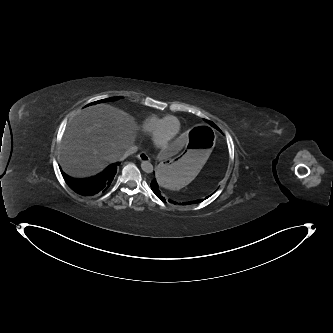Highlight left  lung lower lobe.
Here are the masks:
<instances>
[{
	"label": "left lung lower lobe",
	"mask_w": 333,
	"mask_h": 333,
	"mask_svg": "<svg viewBox=\"0 0 333 333\" xmlns=\"http://www.w3.org/2000/svg\"><path fill=\"white\" fill-rule=\"evenodd\" d=\"M151 189L152 191L160 198L163 199L162 195H163V190L161 188V185L159 183L156 182V179L152 180L151 182ZM194 202H188L186 204H193ZM184 204V203H183Z\"/></svg>",
	"instance_id": "left-lung-lower-lobe-1"
}]
</instances>
